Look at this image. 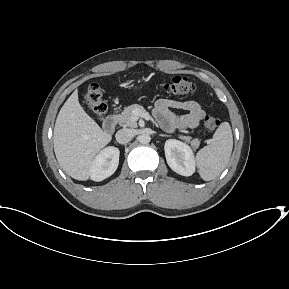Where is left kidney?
Returning a JSON list of instances; mask_svg holds the SVG:
<instances>
[{
	"label": "left kidney",
	"instance_id": "1",
	"mask_svg": "<svg viewBox=\"0 0 289 289\" xmlns=\"http://www.w3.org/2000/svg\"><path fill=\"white\" fill-rule=\"evenodd\" d=\"M166 161L169 167L182 176H191L195 172L194 152L187 144L168 139L164 145Z\"/></svg>",
	"mask_w": 289,
	"mask_h": 289
}]
</instances>
